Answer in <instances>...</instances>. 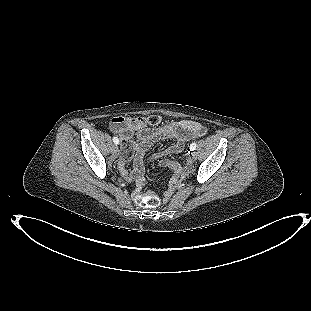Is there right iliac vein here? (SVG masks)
I'll return each instance as SVG.
<instances>
[{
    "mask_svg": "<svg viewBox=\"0 0 311 311\" xmlns=\"http://www.w3.org/2000/svg\"><path fill=\"white\" fill-rule=\"evenodd\" d=\"M111 152L113 155H117L118 154V146L117 145H114L111 149Z\"/></svg>",
    "mask_w": 311,
    "mask_h": 311,
    "instance_id": "63e3f726",
    "label": "right iliac vein"
}]
</instances>
